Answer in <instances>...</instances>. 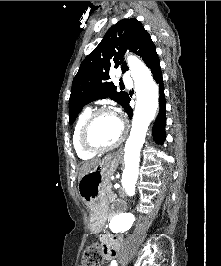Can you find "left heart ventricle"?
Segmentation results:
<instances>
[{
  "label": "left heart ventricle",
  "instance_id": "obj_1",
  "mask_svg": "<svg viewBox=\"0 0 221 266\" xmlns=\"http://www.w3.org/2000/svg\"><path fill=\"white\" fill-rule=\"evenodd\" d=\"M122 131V125L114 114L106 113L98 116L94 121L90 140L96 145H108L118 139Z\"/></svg>",
  "mask_w": 221,
  "mask_h": 266
}]
</instances>
